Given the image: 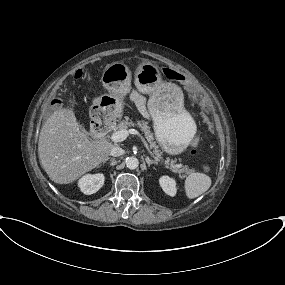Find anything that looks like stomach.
<instances>
[{"label":"stomach","instance_id":"stomach-1","mask_svg":"<svg viewBox=\"0 0 285 285\" xmlns=\"http://www.w3.org/2000/svg\"><path fill=\"white\" fill-rule=\"evenodd\" d=\"M132 72L122 62L108 64L101 76L110 94L93 101L89 115L97 124H108L123 112V98L131 90ZM134 84L142 94L150 95L148 109L154 123L157 141L171 155L183 152L190 144L196 126L185 111L182 90L162 80L160 69L151 62L141 63L134 73Z\"/></svg>","mask_w":285,"mask_h":285}]
</instances>
